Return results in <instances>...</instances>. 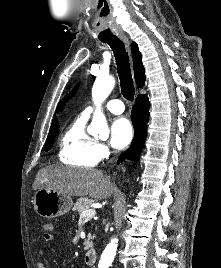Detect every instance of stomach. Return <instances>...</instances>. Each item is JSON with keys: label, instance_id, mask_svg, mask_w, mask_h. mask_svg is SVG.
Segmentation results:
<instances>
[{"label": "stomach", "instance_id": "obj_1", "mask_svg": "<svg viewBox=\"0 0 221 268\" xmlns=\"http://www.w3.org/2000/svg\"><path fill=\"white\" fill-rule=\"evenodd\" d=\"M33 204L40 216L51 219L68 213L73 201L67 194L42 188L35 192Z\"/></svg>", "mask_w": 221, "mask_h": 268}]
</instances>
